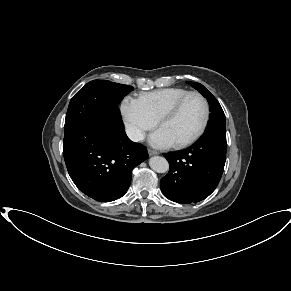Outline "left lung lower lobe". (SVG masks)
Wrapping results in <instances>:
<instances>
[{
	"label": "left lung lower lobe",
	"mask_w": 291,
	"mask_h": 291,
	"mask_svg": "<svg viewBox=\"0 0 291 291\" xmlns=\"http://www.w3.org/2000/svg\"><path fill=\"white\" fill-rule=\"evenodd\" d=\"M226 146V131H207L191 147L164 154L170 165L160 182L164 196L182 204L208 197L221 179Z\"/></svg>",
	"instance_id": "1"
}]
</instances>
